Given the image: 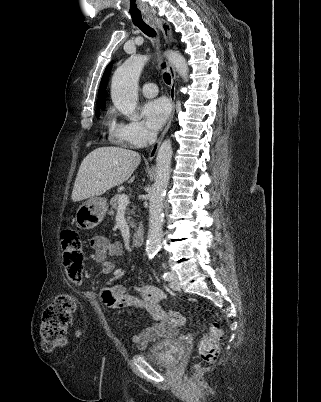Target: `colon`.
<instances>
[{
	"label": "colon",
	"mask_w": 321,
	"mask_h": 402,
	"mask_svg": "<svg viewBox=\"0 0 321 402\" xmlns=\"http://www.w3.org/2000/svg\"><path fill=\"white\" fill-rule=\"evenodd\" d=\"M63 265L68 280L73 288L81 286L84 269L83 240L80 234L72 229L62 232ZM77 301L71 294H60L44 310L40 325L41 342L45 350L63 346L67 341V329L76 310ZM177 324H184V318L175 314ZM223 330L217 323L210 329V335L203 338L198 345L199 357L204 362H215L219 355V340L223 338Z\"/></svg>",
	"instance_id": "1"
}]
</instances>
